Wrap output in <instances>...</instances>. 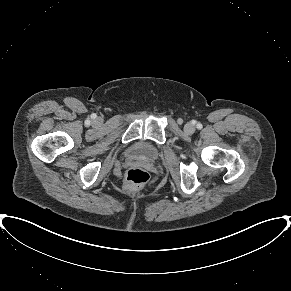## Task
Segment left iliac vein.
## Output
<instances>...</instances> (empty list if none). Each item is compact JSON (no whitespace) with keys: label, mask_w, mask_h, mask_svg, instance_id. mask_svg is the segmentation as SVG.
<instances>
[{"label":"left iliac vein","mask_w":291,"mask_h":291,"mask_svg":"<svg viewBox=\"0 0 291 291\" xmlns=\"http://www.w3.org/2000/svg\"><path fill=\"white\" fill-rule=\"evenodd\" d=\"M184 130H185L186 133H188V134H192V133L195 131V127H194L193 124H191V123H187V124L185 125V127H184Z\"/></svg>","instance_id":"4c4485c4"}]
</instances>
